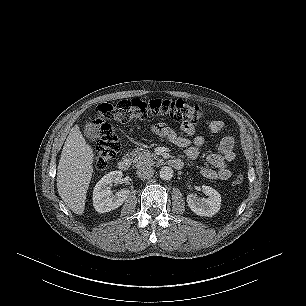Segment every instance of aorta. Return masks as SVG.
<instances>
[{"label":"aorta","mask_w":306,"mask_h":306,"mask_svg":"<svg viewBox=\"0 0 306 306\" xmlns=\"http://www.w3.org/2000/svg\"><path fill=\"white\" fill-rule=\"evenodd\" d=\"M159 176L162 180H170L173 177V170L170 167L164 166L159 172Z\"/></svg>","instance_id":"aorta-1"}]
</instances>
